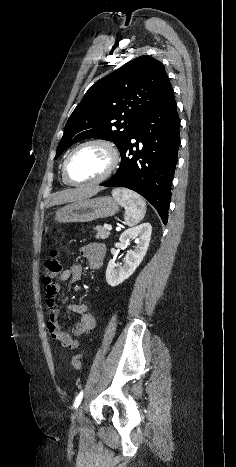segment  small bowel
I'll return each instance as SVG.
<instances>
[{
    "instance_id": "1",
    "label": "small bowel",
    "mask_w": 236,
    "mask_h": 467,
    "mask_svg": "<svg viewBox=\"0 0 236 467\" xmlns=\"http://www.w3.org/2000/svg\"><path fill=\"white\" fill-rule=\"evenodd\" d=\"M81 253L87 259L91 270H99L103 265L106 248L102 243H90L81 248ZM82 274L83 268L81 265H72L63 270L58 281L48 285L46 289L48 332L52 339L58 341L63 347L70 350L77 349L80 346L81 337L89 335L93 331L96 326V320L87 304L66 303L65 307L67 310L79 315V321L76 323L73 333H66L62 330L59 323V307L56 303V297L60 292L63 282L70 281L71 283H76L82 279Z\"/></svg>"
}]
</instances>
